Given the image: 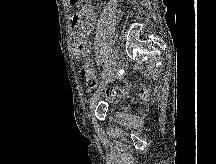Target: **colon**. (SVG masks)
I'll list each match as a JSON object with an SVG mask.
<instances>
[{"instance_id":"5ec220e1","label":"colon","mask_w":216,"mask_h":164,"mask_svg":"<svg viewBox=\"0 0 216 164\" xmlns=\"http://www.w3.org/2000/svg\"><path fill=\"white\" fill-rule=\"evenodd\" d=\"M81 76L85 78L88 88L93 90L96 87V75L95 70L91 67H83L81 69ZM143 97H147L149 93V89L144 87L140 91ZM126 95V91L119 87H111L106 90V98L109 101H117Z\"/></svg>"}]
</instances>
